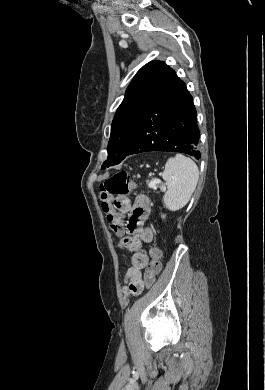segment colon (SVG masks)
Returning <instances> with one entry per match:
<instances>
[{
    "label": "colon",
    "mask_w": 265,
    "mask_h": 390,
    "mask_svg": "<svg viewBox=\"0 0 265 390\" xmlns=\"http://www.w3.org/2000/svg\"><path fill=\"white\" fill-rule=\"evenodd\" d=\"M133 188L134 183L126 171H119L100 184L99 198L102 202V210L106 214L110 229L118 236L123 234L125 224L123 216L115 210V207L111 202V198L113 196H125L129 194ZM150 253L152 256V262L148 266L143 277L144 286L147 288H150L154 284L156 276L161 269V254L159 249L153 247Z\"/></svg>",
    "instance_id": "5ec220e1"
}]
</instances>
